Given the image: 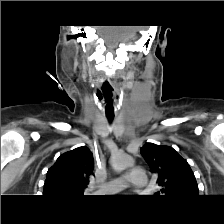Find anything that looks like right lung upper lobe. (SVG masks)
<instances>
[{
  "label": "right lung upper lobe",
  "instance_id": "1",
  "mask_svg": "<svg viewBox=\"0 0 224 224\" xmlns=\"http://www.w3.org/2000/svg\"><path fill=\"white\" fill-rule=\"evenodd\" d=\"M93 169V155L86 146L62 154L47 172L43 196L83 195Z\"/></svg>",
  "mask_w": 224,
  "mask_h": 224
}]
</instances>
